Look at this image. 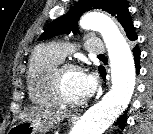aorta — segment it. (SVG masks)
Masks as SVG:
<instances>
[{"mask_svg": "<svg viewBox=\"0 0 153 134\" xmlns=\"http://www.w3.org/2000/svg\"><path fill=\"white\" fill-rule=\"evenodd\" d=\"M84 30L98 31L108 50L112 87L73 127L72 134H103L128 106L135 88V64L126 39L116 24L100 13H87Z\"/></svg>", "mask_w": 153, "mask_h": 134, "instance_id": "1", "label": "aorta"}]
</instances>
